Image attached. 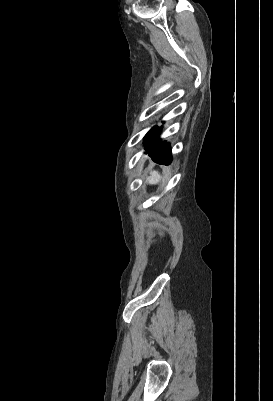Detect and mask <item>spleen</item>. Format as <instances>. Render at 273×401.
<instances>
[{
  "label": "spleen",
  "instance_id": "3e777b00",
  "mask_svg": "<svg viewBox=\"0 0 273 401\" xmlns=\"http://www.w3.org/2000/svg\"><path fill=\"white\" fill-rule=\"evenodd\" d=\"M150 174L151 176L146 178V182H148V184H158V182L162 180V176L159 174V172H157V170H151Z\"/></svg>",
  "mask_w": 273,
  "mask_h": 401
}]
</instances>
